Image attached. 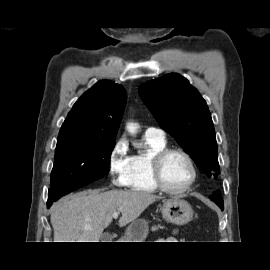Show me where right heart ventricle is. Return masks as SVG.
Listing matches in <instances>:
<instances>
[{"label":"right heart ventricle","mask_w":270,"mask_h":270,"mask_svg":"<svg viewBox=\"0 0 270 270\" xmlns=\"http://www.w3.org/2000/svg\"><path fill=\"white\" fill-rule=\"evenodd\" d=\"M146 150L131 156L128 187L136 192L155 193L158 188L154 185L150 174V160L158 151L166 148V140L145 136Z\"/></svg>","instance_id":"right-heart-ventricle-1"}]
</instances>
